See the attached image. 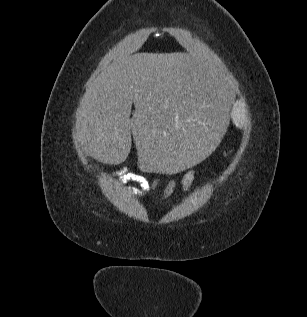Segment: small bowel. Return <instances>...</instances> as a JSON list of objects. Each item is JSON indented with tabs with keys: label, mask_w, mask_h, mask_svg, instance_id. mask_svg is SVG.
<instances>
[{
	"label": "small bowel",
	"mask_w": 307,
	"mask_h": 317,
	"mask_svg": "<svg viewBox=\"0 0 307 317\" xmlns=\"http://www.w3.org/2000/svg\"><path fill=\"white\" fill-rule=\"evenodd\" d=\"M163 176H164V174H160L152 182H148L143 176H141L139 174H132L130 176V178L132 180L136 181L142 187L143 193H146L148 191L155 190L158 187L159 183L161 182ZM195 176H196V174L193 170L187 171L184 174V177L182 179V191H183V193H187L189 191V189H190V187L195 179ZM175 187H176L175 180L170 179L168 181L166 188H165L162 199L164 200V199H167L168 197H170L173 194Z\"/></svg>",
	"instance_id": "small-bowel-1"
}]
</instances>
